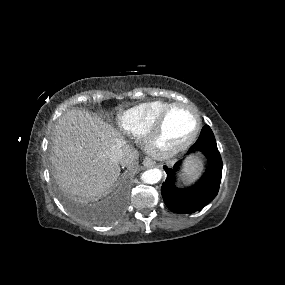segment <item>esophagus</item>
Masks as SVG:
<instances>
[{"label":"esophagus","mask_w":285,"mask_h":285,"mask_svg":"<svg viewBox=\"0 0 285 285\" xmlns=\"http://www.w3.org/2000/svg\"><path fill=\"white\" fill-rule=\"evenodd\" d=\"M154 164H155V162L151 159V158H149V157H146V158H144V160H143V165L145 166V167H153L154 166Z\"/></svg>","instance_id":"esophagus-1"}]
</instances>
